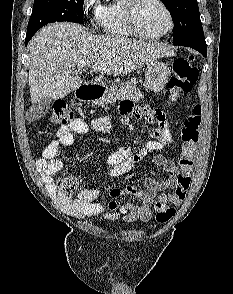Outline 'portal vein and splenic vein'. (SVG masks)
I'll list each match as a JSON object with an SVG mask.
<instances>
[{"label":"portal vein and splenic vein","instance_id":"1","mask_svg":"<svg viewBox=\"0 0 233 294\" xmlns=\"http://www.w3.org/2000/svg\"><path fill=\"white\" fill-rule=\"evenodd\" d=\"M89 64V62L88 61H80L79 63H78V65H77V68L78 69H82V68H84L86 65H88Z\"/></svg>","mask_w":233,"mask_h":294}]
</instances>
